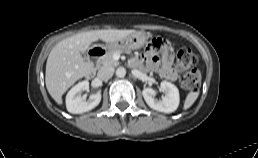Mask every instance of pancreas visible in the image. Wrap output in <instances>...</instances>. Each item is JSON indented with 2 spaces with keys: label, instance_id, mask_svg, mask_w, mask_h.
Instances as JSON below:
<instances>
[{
  "label": "pancreas",
  "instance_id": "1",
  "mask_svg": "<svg viewBox=\"0 0 258 158\" xmlns=\"http://www.w3.org/2000/svg\"><path fill=\"white\" fill-rule=\"evenodd\" d=\"M127 52L130 53V49H121V48H112L109 49L102 58V64L104 66H113L116 67L119 65V62L113 58L115 53Z\"/></svg>",
  "mask_w": 258,
  "mask_h": 158
}]
</instances>
